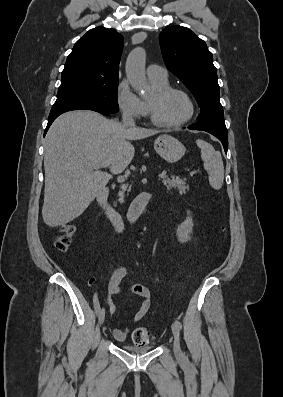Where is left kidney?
Segmentation results:
<instances>
[{"mask_svg":"<svg viewBox=\"0 0 283 397\" xmlns=\"http://www.w3.org/2000/svg\"><path fill=\"white\" fill-rule=\"evenodd\" d=\"M193 226L194 224L191 213L190 211H187L186 220L181 225H179L176 230V235L180 243H186L190 241L191 239L190 235L192 234Z\"/></svg>","mask_w":283,"mask_h":397,"instance_id":"obj_1","label":"left kidney"}]
</instances>
